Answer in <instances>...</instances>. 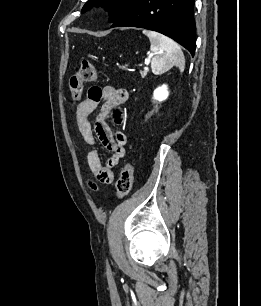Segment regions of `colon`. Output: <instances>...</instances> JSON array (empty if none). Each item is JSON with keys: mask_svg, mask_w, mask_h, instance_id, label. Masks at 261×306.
I'll use <instances>...</instances> for the list:
<instances>
[{"mask_svg": "<svg viewBox=\"0 0 261 306\" xmlns=\"http://www.w3.org/2000/svg\"><path fill=\"white\" fill-rule=\"evenodd\" d=\"M98 71L89 60H82L79 68L72 74L68 81L71 98L74 102L80 100L83 88L86 83L96 82ZM133 168L130 163L124 165L116 183V193L118 197H125L132 188Z\"/></svg>", "mask_w": 261, "mask_h": 306, "instance_id": "5ec220e1", "label": "colon"}]
</instances>
